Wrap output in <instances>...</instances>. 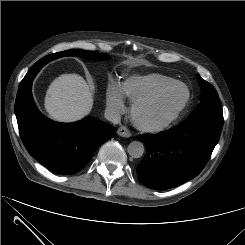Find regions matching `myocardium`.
<instances>
[{
    "instance_id": "1",
    "label": "myocardium",
    "mask_w": 245,
    "mask_h": 245,
    "mask_svg": "<svg viewBox=\"0 0 245 245\" xmlns=\"http://www.w3.org/2000/svg\"><path fill=\"white\" fill-rule=\"evenodd\" d=\"M178 86L183 87L185 89L186 96L184 98V101L180 105V107L177 109V111L171 117H169L168 119H166L163 122L156 123V124H149V123L142 121V119L140 118V111L144 106H146L152 102L157 101L163 95H165L169 90H171L174 87H178ZM190 100H191V92H190L189 87L183 82L174 81V82L158 89L157 91H155L151 94H148L146 96H143V97H141V98H139L133 102L132 107H131V118H132L133 124L138 129H140L144 132H148V133L162 132V131L170 128L172 125H174L181 118V116L184 114V112L188 108Z\"/></svg>"
}]
</instances>
